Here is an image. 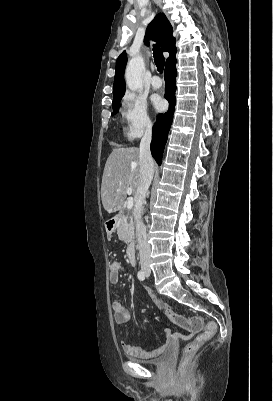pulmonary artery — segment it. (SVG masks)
I'll use <instances>...</instances> for the list:
<instances>
[{"instance_id":"e3ab8cb5","label":"pulmonary artery","mask_w":273,"mask_h":401,"mask_svg":"<svg viewBox=\"0 0 273 401\" xmlns=\"http://www.w3.org/2000/svg\"><path fill=\"white\" fill-rule=\"evenodd\" d=\"M159 80H160L159 75H157V74L152 75L151 81L149 83L150 88L151 89H158L159 86H160Z\"/></svg>"}]
</instances>
